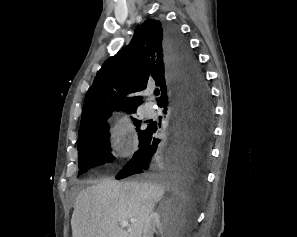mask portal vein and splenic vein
Here are the masks:
<instances>
[{"label": "portal vein and splenic vein", "instance_id": "obj_1", "mask_svg": "<svg viewBox=\"0 0 297 237\" xmlns=\"http://www.w3.org/2000/svg\"><path fill=\"white\" fill-rule=\"evenodd\" d=\"M135 221H136V219H132L130 222L133 223ZM120 225H121L122 228H126V227H129V222L128 221H122L120 223Z\"/></svg>", "mask_w": 297, "mask_h": 237}]
</instances>
